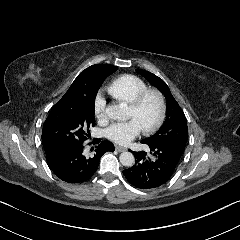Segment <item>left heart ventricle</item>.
<instances>
[{
  "label": "left heart ventricle",
  "mask_w": 240,
  "mask_h": 240,
  "mask_svg": "<svg viewBox=\"0 0 240 240\" xmlns=\"http://www.w3.org/2000/svg\"><path fill=\"white\" fill-rule=\"evenodd\" d=\"M159 113L157 100L148 96L137 111L128 109L127 119H135L141 129L150 127L156 121Z\"/></svg>",
  "instance_id": "1"
}]
</instances>
